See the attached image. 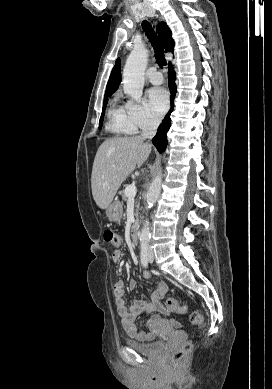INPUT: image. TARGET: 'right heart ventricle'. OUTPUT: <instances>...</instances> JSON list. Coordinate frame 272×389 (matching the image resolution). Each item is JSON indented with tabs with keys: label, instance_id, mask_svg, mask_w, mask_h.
I'll return each mask as SVG.
<instances>
[{
	"label": "right heart ventricle",
	"instance_id": "1",
	"mask_svg": "<svg viewBox=\"0 0 272 389\" xmlns=\"http://www.w3.org/2000/svg\"><path fill=\"white\" fill-rule=\"evenodd\" d=\"M107 128L115 135H128L137 131L129 118L126 105H122L118 97L110 103Z\"/></svg>",
	"mask_w": 272,
	"mask_h": 389
}]
</instances>
